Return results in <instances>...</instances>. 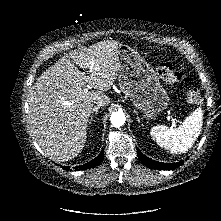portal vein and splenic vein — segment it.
Listing matches in <instances>:
<instances>
[{
  "label": "portal vein and splenic vein",
  "mask_w": 221,
  "mask_h": 221,
  "mask_svg": "<svg viewBox=\"0 0 221 221\" xmlns=\"http://www.w3.org/2000/svg\"><path fill=\"white\" fill-rule=\"evenodd\" d=\"M175 126V122H174V120H172V127H174Z\"/></svg>",
  "instance_id": "obj_1"
}]
</instances>
